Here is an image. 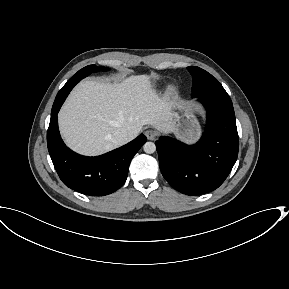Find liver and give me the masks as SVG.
Masks as SVG:
<instances>
[{
	"instance_id": "obj_1",
	"label": "liver",
	"mask_w": 289,
	"mask_h": 289,
	"mask_svg": "<svg viewBox=\"0 0 289 289\" xmlns=\"http://www.w3.org/2000/svg\"><path fill=\"white\" fill-rule=\"evenodd\" d=\"M173 103L152 89L147 75L130 76L111 84L86 80L71 92L59 114L66 144L84 155L117 148L113 134L124 130L133 140L144 125L168 131L173 126Z\"/></svg>"
}]
</instances>
